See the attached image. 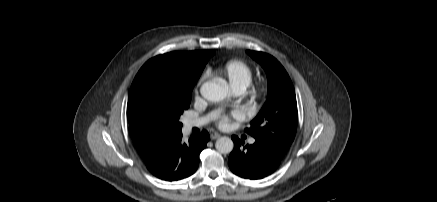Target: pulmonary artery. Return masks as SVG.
Wrapping results in <instances>:
<instances>
[{"label":"pulmonary artery","mask_w":437,"mask_h":202,"mask_svg":"<svg viewBox=\"0 0 437 202\" xmlns=\"http://www.w3.org/2000/svg\"><path fill=\"white\" fill-rule=\"evenodd\" d=\"M244 90L243 89H236L235 92L237 94H241ZM214 116V114L202 117V118H198V119H189L185 122V127L187 129H191L194 127H200L204 124H206L212 117ZM250 143H254V139H250Z\"/></svg>","instance_id":"1"}]
</instances>
